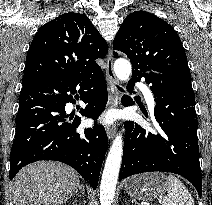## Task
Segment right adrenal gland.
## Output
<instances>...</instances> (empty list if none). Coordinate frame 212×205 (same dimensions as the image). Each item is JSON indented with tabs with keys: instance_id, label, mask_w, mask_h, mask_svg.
<instances>
[{
	"instance_id": "2a0ac1e0",
	"label": "right adrenal gland",
	"mask_w": 212,
	"mask_h": 205,
	"mask_svg": "<svg viewBox=\"0 0 212 205\" xmlns=\"http://www.w3.org/2000/svg\"><path fill=\"white\" fill-rule=\"evenodd\" d=\"M79 182H80V181L78 180V181H77V187H76V189H75V191H74V194H76V193L78 192V189L81 191L82 194H84V190H83V188H82V186L80 185Z\"/></svg>"
}]
</instances>
